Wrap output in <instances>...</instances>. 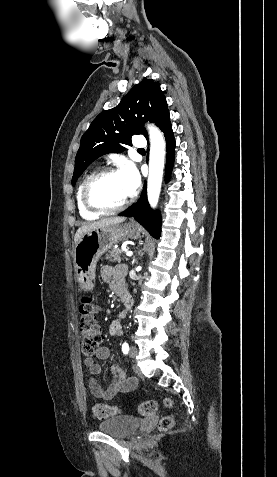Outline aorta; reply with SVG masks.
<instances>
[{"mask_svg": "<svg viewBox=\"0 0 277 477\" xmlns=\"http://www.w3.org/2000/svg\"><path fill=\"white\" fill-rule=\"evenodd\" d=\"M148 131L150 138V156L147 196L151 207L155 208L158 204L161 191L165 162V141L157 127L149 125Z\"/></svg>", "mask_w": 277, "mask_h": 477, "instance_id": "1", "label": "aorta"}]
</instances>
